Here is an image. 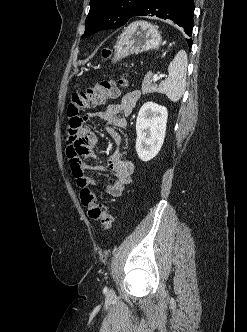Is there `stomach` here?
<instances>
[{
	"label": "stomach",
	"mask_w": 247,
	"mask_h": 332,
	"mask_svg": "<svg viewBox=\"0 0 247 332\" xmlns=\"http://www.w3.org/2000/svg\"><path fill=\"white\" fill-rule=\"evenodd\" d=\"M161 44L162 37L156 26L146 21L133 22L120 35L112 62L129 55L158 49Z\"/></svg>",
	"instance_id": "obj_1"
}]
</instances>
